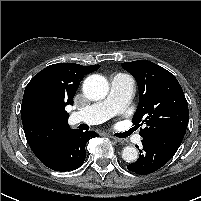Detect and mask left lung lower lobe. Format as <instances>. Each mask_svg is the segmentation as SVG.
Wrapping results in <instances>:
<instances>
[{"mask_svg": "<svg viewBox=\"0 0 201 201\" xmlns=\"http://www.w3.org/2000/svg\"><path fill=\"white\" fill-rule=\"evenodd\" d=\"M183 137L181 134L167 133L143 138L140 156L136 162L127 166L128 170L147 175L160 169L176 153Z\"/></svg>", "mask_w": 201, "mask_h": 201, "instance_id": "1", "label": "left lung lower lobe"}]
</instances>
